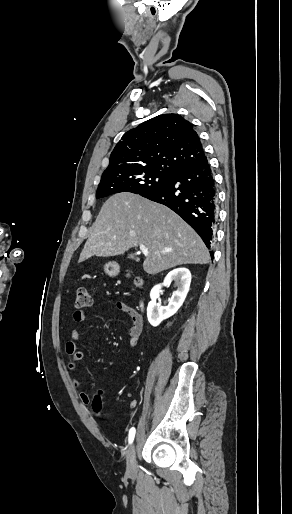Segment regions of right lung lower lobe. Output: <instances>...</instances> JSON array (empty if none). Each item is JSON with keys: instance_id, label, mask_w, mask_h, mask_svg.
<instances>
[{"instance_id": "right-lung-lower-lobe-1", "label": "right lung lower lobe", "mask_w": 292, "mask_h": 514, "mask_svg": "<svg viewBox=\"0 0 292 514\" xmlns=\"http://www.w3.org/2000/svg\"><path fill=\"white\" fill-rule=\"evenodd\" d=\"M143 197L161 203L181 216L211 247L217 217V193L207 157L185 167ZM213 257V255H212Z\"/></svg>"}]
</instances>
